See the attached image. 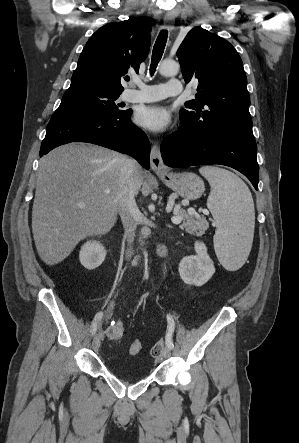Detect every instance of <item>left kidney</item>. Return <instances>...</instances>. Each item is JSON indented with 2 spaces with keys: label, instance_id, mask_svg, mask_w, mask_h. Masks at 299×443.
<instances>
[{
  "label": "left kidney",
  "instance_id": "5707ae66",
  "mask_svg": "<svg viewBox=\"0 0 299 443\" xmlns=\"http://www.w3.org/2000/svg\"><path fill=\"white\" fill-rule=\"evenodd\" d=\"M196 255L186 256L179 263V274L184 283L202 286L215 273L214 263L207 253L203 242H195Z\"/></svg>",
  "mask_w": 299,
  "mask_h": 443
}]
</instances>
